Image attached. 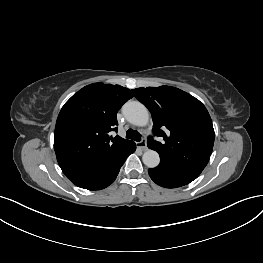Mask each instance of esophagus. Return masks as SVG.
<instances>
[{
  "label": "esophagus",
  "mask_w": 263,
  "mask_h": 263,
  "mask_svg": "<svg viewBox=\"0 0 263 263\" xmlns=\"http://www.w3.org/2000/svg\"><path fill=\"white\" fill-rule=\"evenodd\" d=\"M137 148L142 149L143 151L147 150V144L145 140H141L140 142L136 143Z\"/></svg>",
  "instance_id": "obj_1"
}]
</instances>
